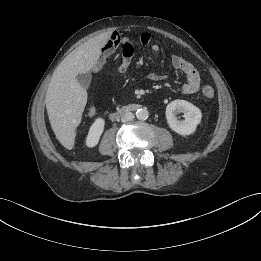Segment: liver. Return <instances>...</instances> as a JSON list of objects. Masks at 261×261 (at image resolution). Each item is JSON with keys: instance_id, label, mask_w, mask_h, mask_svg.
<instances>
[{"instance_id": "liver-1", "label": "liver", "mask_w": 261, "mask_h": 261, "mask_svg": "<svg viewBox=\"0 0 261 261\" xmlns=\"http://www.w3.org/2000/svg\"><path fill=\"white\" fill-rule=\"evenodd\" d=\"M110 37L111 32H105L77 47L60 63L51 78L45 97L46 109L52 130L65 147L73 145L75 129L87 102V92L76 76L95 66Z\"/></svg>"}]
</instances>
